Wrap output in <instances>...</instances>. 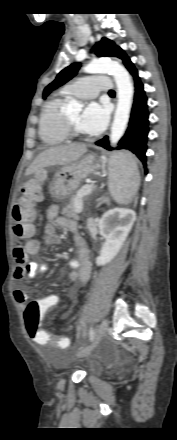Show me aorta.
<instances>
[{"instance_id":"762f6f07","label":"aorta","mask_w":177,"mask_h":440,"mask_svg":"<svg viewBox=\"0 0 177 440\" xmlns=\"http://www.w3.org/2000/svg\"><path fill=\"white\" fill-rule=\"evenodd\" d=\"M84 71L89 74L110 73L114 76L118 89V103L111 127L110 143L111 145H116L123 136L129 121L134 93L130 75L127 70L117 62L98 59L92 60L84 67ZM81 108L82 105L75 99H72L67 106L69 112H79Z\"/></svg>"}]
</instances>
